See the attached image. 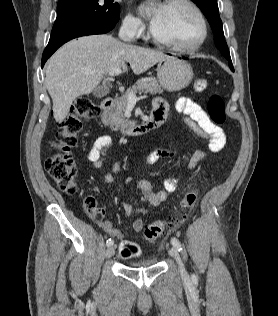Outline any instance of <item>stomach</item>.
I'll list each match as a JSON object with an SVG mask.
<instances>
[{
    "instance_id": "stomach-1",
    "label": "stomach",
    "mask_w": 278,
    "mask_h": 316,
    "mask_svg": "<svg viewBox=\"0 0 278 316\" xmlns=\"http://www.w3.org/2000/svg\"><path fill=\"white\" fill-rule=\"evenodd\" d=\"M157 78L167 91H180L186 88L193 78L191 65L180 58L167 56L158 63Z\"/></svg>"
}]
</instances>
